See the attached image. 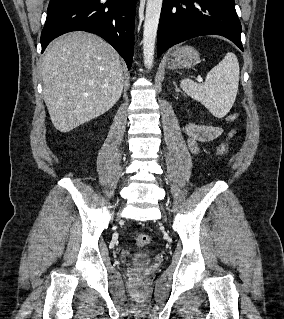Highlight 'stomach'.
<instances>
[{
    "label": "stomach",
    "mask_w": 284,
    "mask_h": 319,
    "mask_svg": "<svg viewBox=\"0 0 284 319\" xmlns=\"http://www.w3.org/2000/svg\"><path fill=\"white\" fill-rule=\"evenodd\" d=\"M200 61L199 52L191 46L176 48L167 57L169 69H189Z\"/></svg>",
    "instance_id": "obj_1"
}]
</instances>
